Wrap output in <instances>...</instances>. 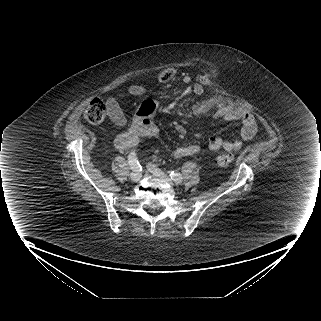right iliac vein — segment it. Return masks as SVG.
<instances>
[{
    "label": "right iliac vein",
    "instance_id": "right-iliac-vein-1",
    "mask_svg": "<svg viewBox=\"0 0 321 321\" xmlns=\"http://www.w3.org/2000/svg\"><path fill=\"white\" fill-rule=\"evenodd\" d=\"M141 177H142V173L140 170L133 172L130 176L131 180L134 182L139 181Z\"/></svg>",
    "mask_w": 321,
    "mask_h": 321
}]
</instances>
